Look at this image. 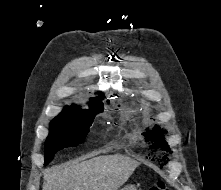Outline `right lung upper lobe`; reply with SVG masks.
I'll return each mask as SVG.
<instances>
[{
    "label": "right lung upper lobe",
    "instance_id": "cb5924a9",
    "mask_svg": "<svg viewBox=\"0 0 221 190\" xmlns=\"http://www.w3.org/2000/svg\"><path fill=\"white\" fill-rule=\"evenodd\" d=\"M98 94H99V97H98V98H91L89 104L96 103V102H100L101 99L104 98V95H103L102 92H98ZM75 107H76V106H68V107H66V108L64 109V111L74 109Z\"/></svg>",
    "mask_w": 221,
    "mask_h": 190
}]
</instances>
